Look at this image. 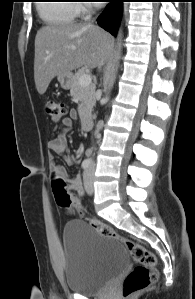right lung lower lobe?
<instances>
[{"instance_id":"98d812e1","label":"right lung lower lobe","mask_w":195,"mask_h":299,"mask_svg":"<svg viewBox=\"0 0 195 299\" xmlns=\"http://www.w3.org/2000/svg\"><path fill=\"white\" fill-rule=\"evenodd\" d=\"M109 1L113 3L108 5L105 11L98 17L97 22L101 27L115 36L121 18L123 0Z\"/></svg>"}]
</instances>
